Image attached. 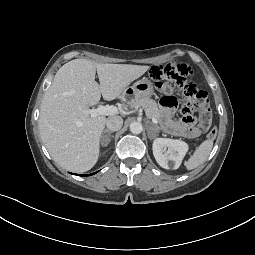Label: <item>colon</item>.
I'll list each match as a JSON object with an SVG mask.
<instances>
[{"label":"colon","mask_w":255,"mask_h":255,"mask_svg":"<svg viewBox=\"0 0 255 255\" xmlns=\"http://www.w3.org/2000/svg\"><path fill=\"white\" fill-rule=\"evenodd\" d=\"M193 75L194 72L189 66L176 62L167 65H155L150 70L151 79L156 82L157 87L162 92L170 93L174 88L181 91L185 98V114L197 111L198 128L207 131L212 125V111L207 93L197 88L192 80ZM216 133L215 129H211L208 137L212 139L216 136Z\"/></svg>","instance_id":"obj_1"}]
</instances>
